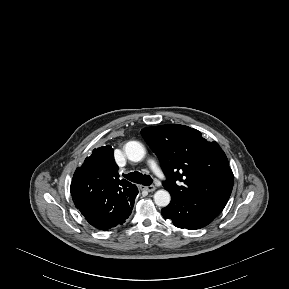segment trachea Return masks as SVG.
<instances>
[{
    "label": "trachea",
    "mask_w": 289,
    "mask_h": 289,
    "mask_svg": "<svg viewBox=\"0 0 289 289\" xmlns=\"http://www.w3.org/2000/svg\"><path fill=\"white\" fill-rule=\"evenodd\" d=\"M126 179L129 181H132L134 183L142 184L144 186H149L152 184V178L149 175L142 174L138 171H135L133 173H129L126 175H123Z\"/></svg>",
    "instance_id": "3493384b"
}]
</instances>
